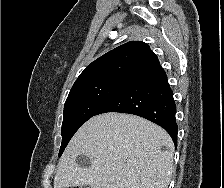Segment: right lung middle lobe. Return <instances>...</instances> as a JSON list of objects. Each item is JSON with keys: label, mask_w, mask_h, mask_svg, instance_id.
<instances>
[{"label": "right lung middle lobe", "mask_w": 224, "mask_h": 188, "mask_svg": "<svg viewBox=\"0 0 224 188\" xmlns=\"http://www.w3.org/2000/svg\"><path fill=\"white\" fill-rule=\"evenodd\" d=\"M132 80L110 77L73 85L64 105L59 157L78 128Z\"/></svg>", "instance_id": "1"}]
</instances>
